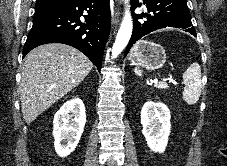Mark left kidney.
<instances>
[{
	"instance_id": "left-kidney-1",
	"label": "left kidney",
	"mask_w": 227,
	"mask_h": 166,
	"mask_svg": "<svg viewBox=\"0 0 227 166\" xmlns=\"http://www.w3.org/2000/svg\"><path fill=\"white\" fill-rule=\"evenodd\" d=\"M170 111L161 102H146L141 109L142 133L148 147L154 151L163 153L168 143L170 134Z\"/></svg>"
}]
</instances>
